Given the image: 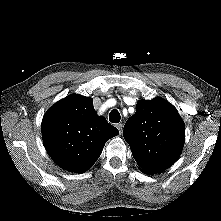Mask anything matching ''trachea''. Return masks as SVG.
I'll use <instances>...</instances> for the list:
<instances>
[{
	"label": "trachea",
	"mask_w": 221,
	"mask_h": 221,
	"mask_svg": "<svg viewBox=\"0 0 221 221\" xmlns=\"http://www.w3.org/2000/svg\"><path fill=\"white\" fill-rule=\"evenodd\" d=\"M121 119L120 113L118 110L113 109L109 114V121L112 123H119Z\"/></svg>",
	"instance_id": "1"
}]
</instances>
